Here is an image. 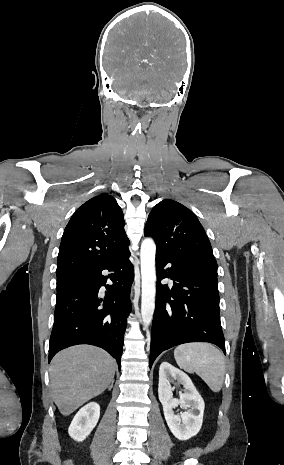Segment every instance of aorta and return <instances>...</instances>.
<instances>
[{"label":"aorta","instance_id":"obj_1","mask_svg":"<svg viewBox=\"0 0 284 465\" xmlns=\"http://www.w3.org/2000/svg\"><path fill=\"white\" fill-rule=\"evenodd\" d=\"M156 245L151 238L142 241L140 250L141 276H142V300L141 315L144 327L150 325L155 310L156 294V269H155Z\"/></svg>","mask_w":284,"mask_h":465}]
</instances>
